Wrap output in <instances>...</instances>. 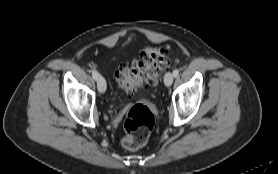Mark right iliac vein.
I'll use <instances>...</instances> for the list:
<instances>
[{"mask_svg":"<svg viewBox=\"0 0 278 174\" xmlns=\"http://www.w3.org/2000/svg\"><path fill=\"white\" fill-rule=\"evenodd\" d=\"M97 88L100 93H104L106 91V81L102 76H99L97 80Z\"/></svg>","mask_w":278,"mask_h":174,"instance_id":"obj_1","label":"right iliac vein"}]
</instances>
